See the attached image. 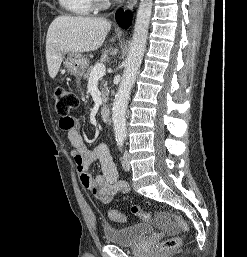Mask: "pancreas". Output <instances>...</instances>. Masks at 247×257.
Listing matches in <instances>:
<instances>
[{
	"instance_id": "cf45deb5",
	"label": "pancreas",
	"mask_w": 247,
	"mask_h": 257,
	"mask_svg": "<svg viewBox=\"0 0 247 257\" xmlns=\"http://www.w3.org/2000/svg\"><path fill=\"white\" fill-rule=\"evenodd\" d=\"M92 70H93V66H90V67L87 69L86 73L84 74V79H85L86 81H89ZM102 85H103V88H102V90H101V93H102V101H103V103H105V102H107V100H108V93H109V90H108L107 82H106V81H103V82H102Z\"/></svg>"
}]
</instances>
